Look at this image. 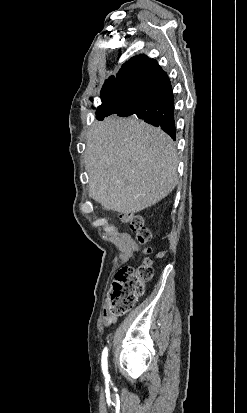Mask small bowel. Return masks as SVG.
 I'll list each match as a JSON object with an SVG mask.
<instances>
[{
	"label": "small bowel",
	"instance_id": "small-bowel-1",
	"mask_svg": "<svg viewBox=\"0 0 247 413\" xmlns=\"http://www.w3.org/2000/svg\"><path fill=\"white\" fill-rule=\"evenodd\" d=\"M117 321V317L111 315L107 310L104 311L103 313V324L105 326H110L111 324H114Z\"/></svg>",
	"mask_w": 247,
	"mask_h": 413
}]
</instances>
